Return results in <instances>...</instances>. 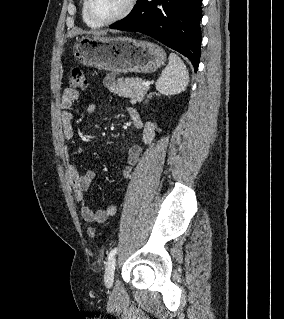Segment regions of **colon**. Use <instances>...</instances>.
<instances>
[{
	"mask_svg": "<svg viewBox=\"0 0 284 319\" xmlns=\"http://www.w3.org/2000/svg\"><path fill=\"white\" fill-rule=\"evenodd\" d=\"M68 77L70 88L81 90L86 87V80L81 68H71ZM87 233L90 238H94L96 235V230L93 227H90L88 228Z\"/></svg>",
	"mask_w": 284,
	"mask_h": 319,
	"instance_id": "1",
	"label": "colon"
}]
</instances>
